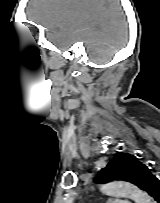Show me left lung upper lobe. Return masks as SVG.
Segmentation results:
<instances>
[{
    "instance_id": "obj_1",
    "label": "left lung upper lobe",
    "mask_w": 160,
    "mask_h": 203,
    "mask_svg": "<svg viewBox=\"0 0 160 203\" xmlns=\"http://www.w3.org/2000/svg\"><path fill=\"white\" fill-rule=\"evenodd\" d=\"M156 176L151 169L129 153L117 152L114 159L100 171L96 182L123 180L137 185L148 194L153 186Z\"/></svg>"
}]
</instances>
